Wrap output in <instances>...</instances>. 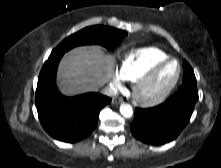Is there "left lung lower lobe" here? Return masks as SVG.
<instances>
[{
    "label": "left lung lower lobe",
    "instance_id": "obj_1",
    "mask_svg": "<svg viewBox=\"0 0 221 168\" xmlns=\"http://www.w3.org/2000/svg\"><path fill=\"white\" fill-rule=\"evenodd\" d=\"M197 100V83H182L164 103L152 108L135 109L132 134L150 145H163L173 141L190 121Z\"/></svg>",
    "mask_w": 221,
    "mask_h": 168
}]
</instances>
